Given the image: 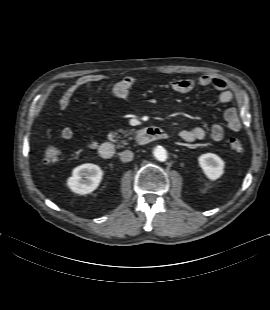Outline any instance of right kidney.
I'll return each instance as SVG.
<instances>
[{"label":"right kidney","instance_id":"obj_1","mask_svg":"<svg viewBox=\"0 0 270 310\" xmlns=\"http://www.w3.org/2000/svg\"><path fill=\"white\" fill-rule=\"evenodd\" d=\"M103 176L101 168L94 164H83L72 171L68 178V187L77 194L85 195L93 192L99 186Z\"/></svg>","mask_w":270,"mask_h":310}]
</instances>
